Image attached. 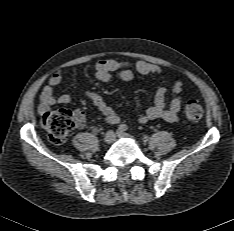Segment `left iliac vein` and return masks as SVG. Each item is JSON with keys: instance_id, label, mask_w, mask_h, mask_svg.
<instances>
[{"instance_id": "obj_1", "label": "left iliac vein", "mask_w": 234, "mask_h": 231, "mask_svg": "<svg viewBox=\"0 0 234 231\" xmlns=\"http://www.w3.org/2000/svg\"><path fill=\"white\" fill-rule=\"evenodd\" d=\"M117 136L119 138H128V139H131V136L128 133H125V132L120 131V130L117 132Z\"/></svg>"}]
</instances>
